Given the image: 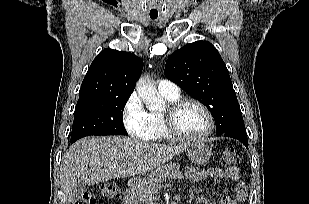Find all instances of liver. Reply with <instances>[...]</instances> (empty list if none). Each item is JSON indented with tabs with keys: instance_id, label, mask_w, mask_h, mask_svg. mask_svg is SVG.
Masks as SVG:
<instances>
[{
	"instance_id": "liver-1",
	"label": "liver",
	"mask_w": 309,
	"mask_h": 204,
	"mask_svg": "<svg viewBox=\"0 0 309 204\" xmlns=\"http://www.w3.org/2000/svg\"><path fill=\"white\" fill-rule=\"evenodd\" d=\"M190 143L158 145L122 136H92L74 143L64 154L61 179L69 201L77 180L95 185L142 175L182 153Z\"/></svg>"
}]
</instances>
